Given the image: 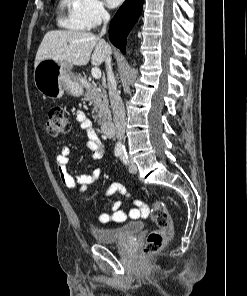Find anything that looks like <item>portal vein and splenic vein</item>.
<instances>
[{
  "label": "portal vein and splenic vein",
  "instance_id": "obj_1",
  "mask_svg": "<svg viewBox=\"0 0 247 296\" xmlns=\"http://www.w3.org/2000/svg\"><path fill=\"white\" fill-rule=\"evenodd\" d=\"M91 73L93 78L100 79L101 78V70L98 67H93L91 69Z\"/></svg>",
  "mask_w": 247,
  "mask_h": 296
}]
</instances>
